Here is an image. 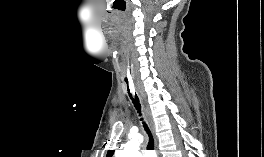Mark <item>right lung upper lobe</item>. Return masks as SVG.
Returning <instances> with one entry per match:
<instances>
[{"label": "right lung upper lobe", "instance_id": "1", "mask_svg": "<svg viewBox=\"0 0 264 157\" xmlns=\"http://www.w3.org/2000/svg\"><path fill=\"white\" fill-rule=\"evenodd\" d=\"M112 154H113V150H109L108 154H107V157H112Z\"/></svg>", "mask_w": 264, "mask_h": 157}]
</instances>
